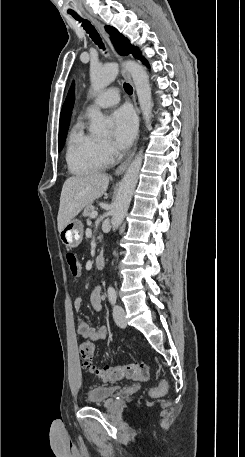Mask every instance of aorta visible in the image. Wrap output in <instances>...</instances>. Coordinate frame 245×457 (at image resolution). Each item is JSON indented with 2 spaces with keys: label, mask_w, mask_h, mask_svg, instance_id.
<instances>
[{
  "label": "aorta",
  "mask_w": 245,
  "mask_h": 457,
  "mask_svg": "<svg viewBox=\"0 0 245 457\" xmlns=\"http://www.w3.org/2000/svg\"><path fill=\"white\" fill-rule=\"evenodd\" d=\"M126 69L132 76L144 120L149 124L152 111L149 77L142 65L135 61H127ZM118 70L117 63H110L103 67H92L90 80L93 92L98 93L112 83L118 75ZM89 116L90 129L93 133L102 135L108 131L110 121L103 116L100 110L91 111ZM142 154L143 150H140L120 183L112 211L111 224L113 231L121 225L129 208L142 165Z\"/></svg>",
  "instance_id": "762f6f07"
}]
</instances>
